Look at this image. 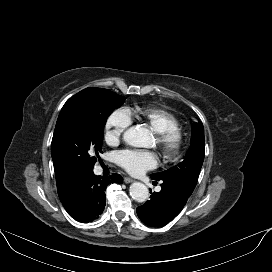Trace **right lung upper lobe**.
Returning a JSON list of instances; mask_svg holds the SVG:
<instances>
[{
    "label": "right lung upper lobe",
    "instance_id": "cb5924a9",
    "mask_svg": "<svg viewBox=\"0 0 272 272\" xmlns=\"http://www.w3.org/2000/svg\"><path fill=\"white\" fill-rule=\"evenodd\" d=\"M53 164L56 174L58 195L60 200H63L82 177H72L69 174L66 165L58 160L53 159Z\"/></svg>",
    "mask_w": 272,
    "mask_h": 272
}]
</instances>
